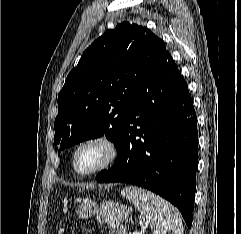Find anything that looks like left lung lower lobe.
<instances>
[{
	"mask_svg": "<svg viewBox=\"0 0 241 234\" xmlns=\"http://www.w3.org/2000/svg\"><path fill=\"white\" fill-rule=\"evenodd\" d=\"M197 117L187 84L165 51L140 86L124 123L115 164L100 183H131L174 204L190 228L198 164Z\"/></svg>",
	"mask_w": 241,
	"mask_h": 234,
	"instance_id": "0a47b994",
	"label": "left lung lower lobe"
}]
</instances>
